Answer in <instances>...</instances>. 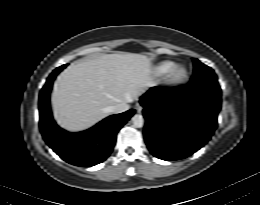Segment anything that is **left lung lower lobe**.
I'll list each match as a JSON object with an SVG mask.
<instances>
[{
  "label": "left lung lower lobe",
  "instance_id": "1",
  "mask_svg": "<svg viewBox=\"0 0 260 205\" xmlns=\"http://www.w3.org/2000/svg\"><path fill=\"white\" fill-rule=\"evenodd\" d=\"M140 103L147 147L155 157L173 161L190 156L208 142L217 126L221 91L193 85L154 87Z\"/></svg>",
  "mask_w": 260,
  "mask_h": 205
}]
</instances>
